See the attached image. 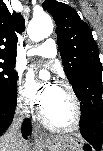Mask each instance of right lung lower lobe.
I'll list each match as a JSON object with an SVG mask.
<instances>
[{"label": "right lung lower lobe", "mask_w": 103, "mask_h": 151, "mask_svg": "<svg viewBox=\"0 0 103 151\" xmlns=\"http://www.w3.org/2000/svg\"><path fill=\"white\" fill-rule=\"evenodd\" d=\"M16 107L15 101H8L0 99V135L10 126L14 118V112ZM31 123L29 119H26L22 125V134L26 138L30 134Z\"/></svg>", "instance_id": "98d812e1"}]
</instances>
